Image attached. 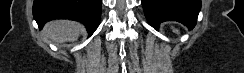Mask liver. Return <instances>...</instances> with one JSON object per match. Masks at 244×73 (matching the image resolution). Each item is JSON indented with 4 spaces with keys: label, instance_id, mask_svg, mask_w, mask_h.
I'll return each mask as SVG.
<instances>
[{
    "label": "liver",
    "instance_id": "6515ba94",
    "mask_svg": "<svg viewBox=\"0 0 244 73\" xmlns=\"http://www.w3.org/2000/svg\"><path fill=\"white\" fill-rule=\"evenodd\" d=\"M83 27L79 23L56 20L45 26V33L58 43L72 42L78 39Z\"/></svg>",
    "mask_w": 244,
    "mask_h": 73
}]
</instances>
